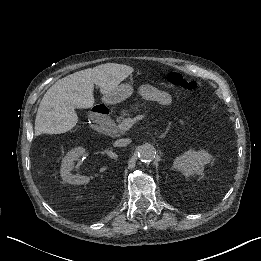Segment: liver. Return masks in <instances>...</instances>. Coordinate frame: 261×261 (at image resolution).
I'll return each instance as SVG.
<instances>
[{"mask_svg":"<svg viewBox=\"0 0 261 261\" xmlns=\"http://www.w3.org/2000/svg\"><path fill=\"white\" fill-rule=\"evenodd\" d=\"M132 68L86 69L58 80L43 96L35 119V135L62 134L78 128L77 110L95 105L94 87L108 95L132 75Z\"/></svg>","mask_w":261,"mask_h":261,"instance_id":"1","label":"liver"}]
</instances>
